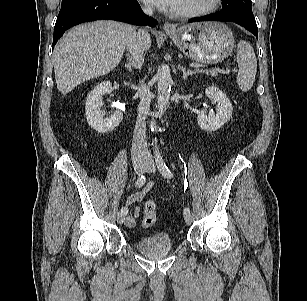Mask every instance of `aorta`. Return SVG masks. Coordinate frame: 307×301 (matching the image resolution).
<instances>
[{"label": "aorta", "instance_id": "1", "mask_svg": "<svg viewBox=\"0 0 307 301\" xmlns=\"http://www.w3.org/2000/svg\"><path fill=\"white\" fill-rule=\"evenodd\" d=\"M156 78L158 82V110L160 113L159 117H161V114H163L168 105L171 85L173 83L170 67L166 64L160 65L156 74Z\"/></svg>", "mask_w": 307, "mask_h": 301}]
</instances>
